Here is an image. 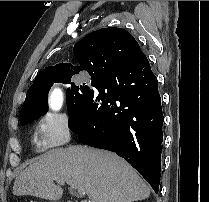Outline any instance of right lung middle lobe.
<instances>
[{
    "label": "right lung middle lobe",
    "mask_w": 209,
    "mask_h": 202,
    "mask_svg": "<svg viewBox=\"0 0 209 202\" xmlns=\"http://www.w3.org/2000/svg\"><path fill=\"white\" fill-rule=\"evenodd\" d=\"M72 76L73 75H66V76H58L51 78L38 94V97L41 99L42 104L35 105L21 111L20 121L23 122L21 125L32 123L40 116H43L47 113L48 92L54 82H62L64 84L71 85L67 88V93H66L68 115L70 119L78 116L83 110L87 98L90 97L94 93V91L86 84L76 85L75 83L71 82ZM95 83L96 80L92 79L91 85L94 86Z\"/></svg>",
    "instance_id": "right-lung-middle-lobe-1"
}]
</instances>
